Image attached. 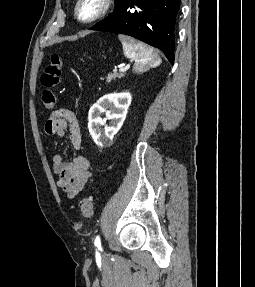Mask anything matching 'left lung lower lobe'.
Returning a JSON list of instances; mask_svg holds the SVG:
<instances>
[{
	"label": "left lung lower lobe",
	"mask_w": 255,
	"mask_h": 287,
	"mask_svg": "<svg viewBox=\"0 0 255 287\" xmlns=\"http://www.w3.org/2000/svg\"><path fill=\"white\" fill-rule=\"evenodd\" d=\"M181 0H117L112 15L90 30L132 36L159 48L174 63Z\"/></svg>",
	"instance_id": "0a47b994"
}]
</instances>
